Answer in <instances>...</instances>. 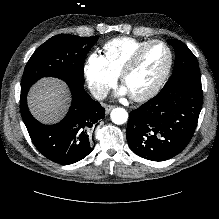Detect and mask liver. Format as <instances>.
Returning <instances> with one entry per match:
<instances>
[{
  "instance_id": "1",
  "label": "liver",
  "mask_w": 219,
  "mask_h": 219,
  "mask_svg": "<svg viewBox=\"0 0 219 219\" xmlns=\"http://www.w3.org/2000/svg\"><path fill=\"white\" fill-rule=\"evenodd\" d=\"M69 91L64 82L55 78H43L28 95L31 113L41 122L49 124L59 121L66 113Z\"/></svg>"
}]
</instances>
